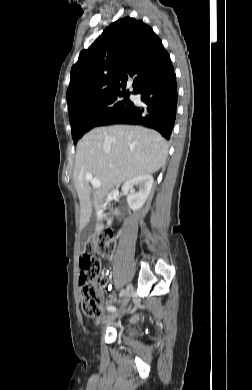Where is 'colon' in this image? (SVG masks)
<instances>
[{"mask_svg":"<svg viewBox=\"0 0 252 390\" xmlns=\"http://www.w3.org/2000/svg\"><path fill=\"white\" fill-rule=\"evenodd\" d=\"M114 245V236L111 233H106L88 242L80 258L79 285L82 295V309L85 315L92 318H100L103 314L101 295L97 286L100 275V260L112 255Z\"/></svg>","mask_w":252,"mask_h":390,"instance_id":"5ec220e1","label":"colon"}]
</instances>
